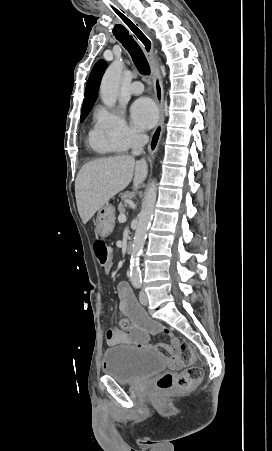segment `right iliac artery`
Returning <instances> with one entry per match:
<instances>
[{
  "mask_svg": "<svg viewBox=\"0 0 272 451\" xmlns=\"http://www.w3.org/2000/svg\"><path fill=\"white\" fill-rule=\"evenodd\" d=\"M134 287L138 288V283L136 281L133 282Z\"/></svg>",
  "mask_w": 272,
  "mask_h": 451,
  "instance_id": "right-iliac-artery-1",
  "label": "right iliac artery"
}]
</instances>
